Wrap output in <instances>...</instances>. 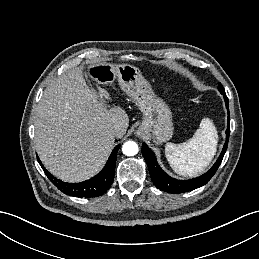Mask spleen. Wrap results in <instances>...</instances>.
<instances>
[{
	"label": "spleen",
	"mask_w": 259,
	"mask_h": 259,
	"mask_svg": "<svg viewBox=\"0 0 259 259\" xmlns=\"http://www.w3.org/2000/svg\"><path fill=\"white\" fill-rule=\"evenodd\" d=\"M218 133L212 120L203 118L193 137L180 144L167 143L166 158L175 173L195 176L201 173L216 153Z\"/></svg>",
	"instance_id": "3e777b00"
}]
</instances>
